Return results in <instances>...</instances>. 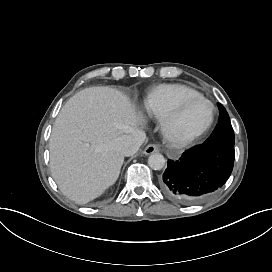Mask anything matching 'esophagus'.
I'll return each instance as SVG.
<instances>
[{
    "label": "esophagus",
    "mask_w": 272,
    "mask_h": 272,
    "mask_svg": "<svg viewBox=\"0 0 272 272\" xmlns=\"http://www.w3.org/2000/svg\"><path fill=\"white\" fill-rule=\"evenodd\" d=\"M160 148L158 145L156 144H149L145 149H144V154L145 155H149V154H153L156 152H159Z\"/></svg>",
    "instance_id": "esophagus-1"
}]
</instances>
